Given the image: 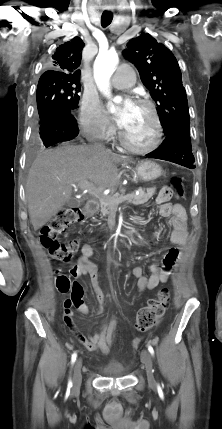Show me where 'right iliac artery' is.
<instances>
[{
    "instance_id": "right-iliac-artery-1",
    "label": "right iliac artery",
    "mask_w": 222,
    "mask_h": 429,
    "mask_svg": "<svg viewBox=\"0 0 222 429\" xmlns=\"http://www.w3.org/2000/svg\"><path fill=\"white\" fill-rule=\"evenodd\" d=\"M76 358H77V353L76 352H74L73 354H72V357H71V364L73 365L74 364V362L76 361ZM72 387V381L71 380H69V382H68V390L70 389Z\"/></svg>"
}]
</instances>
